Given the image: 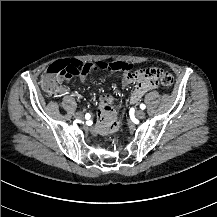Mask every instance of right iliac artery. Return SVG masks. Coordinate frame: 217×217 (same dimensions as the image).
Instances as JSON below:
<instances>
[{
    "label": "right iliac artery",
    "mask_w": 217,
    "mask_h": 217,
    "mask_svg": "<svg viewBox=\"0 0 217 217\" xmlns=\"http://www.w3.org/2000/svg\"><path fill=\"white\" fill-rule=\"evenodd\" d=\"M85 119L86 120H91L92 119V114L91 113H86L85 114Z\"/></svg>",
    "instance_id": "obj_1"
}]
</instances>
